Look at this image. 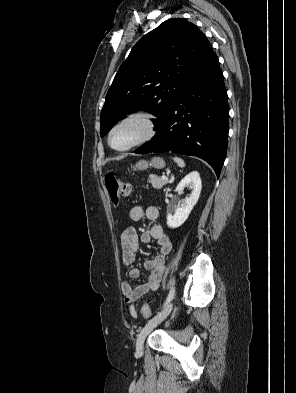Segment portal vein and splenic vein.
<instances>
[{
  "instance_id": "obj_1",
  "label": "portal vein and splenic vein",
  "mask_w": 296,
  "mask_h": 393,
  "mask_svg": "<svg viewBox=\"0 0 296 393\" xmlns=\"http://www.w3.org/2000/svg\"><path fill=\"white\" fill-rule=\"evenodd\" d=\"M162 179L163 180H168V178L165 175L162 176Z\"/></svg>"
}]
</instances>
